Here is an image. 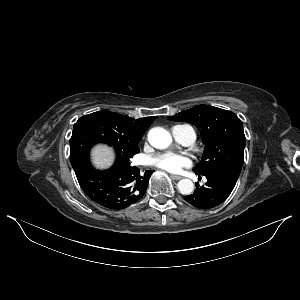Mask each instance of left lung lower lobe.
I'll list each match as a JSON object with an SVG mask.
<instances>
[{
    "label": "left lung lower lobe",
    "instance_id": "left-lung-lower-lobe-1",
    "mask_svg": "<svg viewBox=\"0 0 300 300\" xmlns=\"http://www.w3.org/2000/svg\"><path fill=\"white\" fill-rule=\"evenodd\" d=\"M204 176L207 178L205 185L200 187L196 184L194 193L184 197L188 203L199 209H211L224 202L232 192L239 174L228 170H215Z\"/></svg>",
    "mask_w": 300,
    "mask_h": 300
}]
</instances>
